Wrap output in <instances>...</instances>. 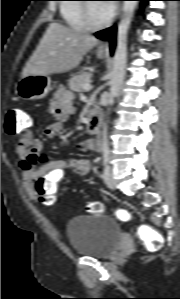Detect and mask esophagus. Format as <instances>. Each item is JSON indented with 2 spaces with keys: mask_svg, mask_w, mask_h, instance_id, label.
I'll use <instances>...</instances> for the list:
<instances>
[{
  "mask_svg": "<svg viewBox=\"0 0 180 299\" xmlns=\"http://www.w3.org/2000/svg\"><path fill=\"white\" fill-rule=\"evenodd\" d=\"M101 49L108 51L109 49V43L108 41H105L102 45H101Z\"/></svg>",
  "mask_w": 180,
  "mask_h": 299,
  "instance_id": "esophagus-1",
  "label": "esophagus"
}]
</instances>
